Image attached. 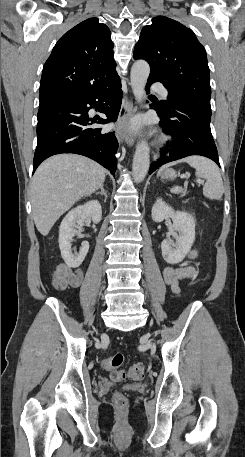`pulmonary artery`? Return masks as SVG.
<instances>
[{"label":"pulmonary artery","mask_w":245,"mask_h":457,"mask_svg":"<svg viewBox=\"0 0 245 457\" xmlns=\"http://www.w3.org/2000/svg\"><path fill=\"white\" fill-rule=\"evenodd\" d=\"M148 87L150 90H159V99L161 102H168L170 99V90L169 89H163L164 88V83L163 81H150L148 82Z\"/></svg>","instance_id":"e3ab8cb5"}]
</instances>
